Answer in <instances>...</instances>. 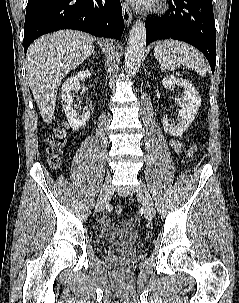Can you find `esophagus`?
Here are the masks:
<instances>
[{"label":"esophagus","mask_w":239,"mask_h":303,"mask_svg":"<svg viewBox=\"0 0 239 303\" xmlns=\"http://www.w3.org/2000/svg\"><path fill=\"white\" fill-rule=\"evenodd\" d=\"M122 14H123V19L126 25H130L132 21V13L130 11V8L127 3L123 2L122 3Z\"/></svg>","instance_id":"esophagus-1"}]
</instances>
